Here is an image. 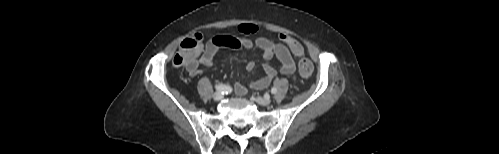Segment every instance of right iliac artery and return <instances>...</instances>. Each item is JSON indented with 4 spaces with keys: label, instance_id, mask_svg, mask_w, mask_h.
<instances>
[{
    "label": "right iliac artery",
    "instance_id": "obj_1",
    "mask_svg": "<svg viewBox=\"0 0 499 154\" xmlns=\"http://www.w3.org/2000/svg\"><path fill=\"white\" fill-rule=\"evenodd\" d=\"M215 88L222 94H228L232 92V88L229 85L217 84L215 85Z\"/></svg>",
    "mask_w": 499,
    "mask_h": 154
}]
</instances>
